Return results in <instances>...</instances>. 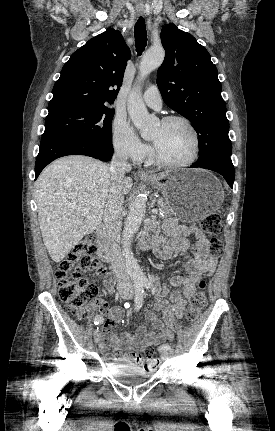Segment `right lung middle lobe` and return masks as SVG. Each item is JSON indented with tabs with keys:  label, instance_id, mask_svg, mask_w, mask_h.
Instances as JSON below:
<instances>
[{
	"label": "right lung middle lobe",
	"instance_id": "dd1d6c3e",
	"mask_svg": "<svg viewBox=\"0 0 275 431\" xmlns=\"http://www.w3.org/2000/svg\"><path fill=\"white\" fill-rule=\"evenodd\" d=\"M114 110L107 106L67 108L49 112L44 135L68 133L112 144L111 122Z\"/></svg>",
	"mask_w": 275,
	"mask_h": 431
}]
</instances>
